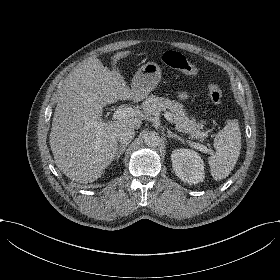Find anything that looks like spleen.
<instances>
[{
    "instance_id": "3e777b00",
    "label": "spleen",
    "mask_w": 280,
    "mask_h": 280,
    "mask_svg": "<svg viewBox=\"0 0 280 280\" xmlns=\"http://www.w3.org/2000/svg\"><path fill=\"white\" fill-rule=\"evenodd\" d=\"M216 153L208 158L215 180L226 178L233 170L241 150V132L237 120H228L214 139Z\"/></svg>"
}]
</instances>
